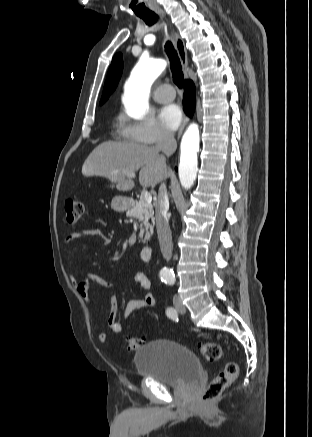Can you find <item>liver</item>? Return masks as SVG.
<instances>
[{
    "instance_id": "obj_1",
    "label": "liver",
    "mask_w": 312,
    "mask_h": 437,
    "mask_svg": "<svg viewBox=\"0 0 312 437\" xmlns=\"http://www.w3.org/2000/svg\"><path fill=\"white\" fill-rule=\"evenodd\" d=\"M138 170L140 185L152 189L168 175L156 146L135 142H103L90 153L82 166L84 176L105 177L112 183L110 187L115 184L119 191L134 188L135 183L127 174Z\"/></svg>"
}]
</instances>
